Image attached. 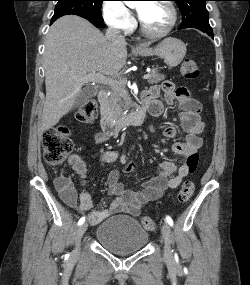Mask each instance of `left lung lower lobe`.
I'll list each match as a JSON object with an SVG mask.
<instances>
[{"mask_svg": "<svg viewBox=\"0 0 250 285\" xmlns=\"http://www.w3.org/2000/svg\"><path fill=\"white\" fill-rule=\"evenodd\" d=\"M200 30V29H199ZM202 32H205L209 35H211V37L213 38V31L212 30H205V29H201Z\"/></svg>", "mask_w": 250, "mask_h": 285, "instance_id": "1", "label": "left lung lower lobe"}]
</instances>
